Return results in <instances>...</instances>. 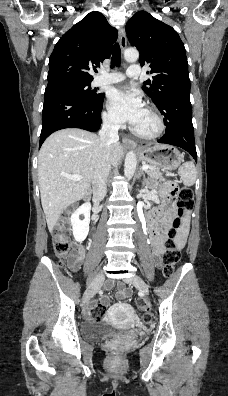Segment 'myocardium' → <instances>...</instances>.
Masks as SVG:
<instances>
[{"label": "myocardium", "mask_w": 228, "mask_h": 396, "mask_svg": "<svg viewBox=\"0 0 228 396\" xmlns=\"http://www.w3.org/2000/svg\"><path fill=\"white\" fill-rule=\"evenodd\" d=\"M146 110L152 114V116L155 118L156 122H157V129L149 134H144L141 133L140 131H138L135 127L132 128V133L143 140H154L159 138L165 131V122L164 119L162 117V115L159 113V111L153 107V106H147Z\"/></svg>", "instance_id": "myocardium-1"}]
</instances>
